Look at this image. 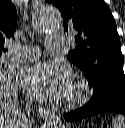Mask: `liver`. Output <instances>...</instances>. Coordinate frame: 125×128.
I'll use <instances>...</instances> for the list:
<instances>
[{
	"label": "liver",
	"instance_id": "liver-1",
	"mask_svg": "<svg viewBox=\"0 0 125 128\" xmlns=\"http://www.w3.org/2000/svg\"><path fill=\"white\" fill-rule=\"evenodd\" d=\"M17 87L0 68V128H20Z\"/></svg>",
	"mask_w": 125,
	"mask_h": 128
}]
</instances>
